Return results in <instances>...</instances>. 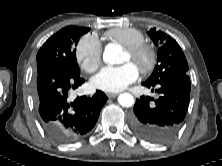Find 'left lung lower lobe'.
I'll use <instances>...</instances> for the list:
<instances>
[{"mask_svg": "<svg viewBox=\"0 0 222 166\" xmlns=\"http://www.w3.org/2000/svg\"><path fill=\"white\" fill-rule=\"evenodd\" d=\"M143 85L155 88L159 97L153 100L141 96L136 100L131 116L132 129L146 141L167 143L175 137L184 122L190 101V77L170 76L157 83L144 82Z\"/></svg>", "mask_w": 222, "mask_h": 166, "instance_id": "0a47b994", "label": "left lung lower lobe"}]
</instances>
